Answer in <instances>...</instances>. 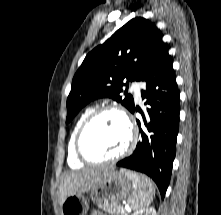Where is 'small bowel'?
I'll use <instances>...</instances> for the list:
<instances>
[{
	"label": "small bowel",
	"mask_w": 221,
	"mask_h": 215,
	"mask_svg": "<svg viewBox=\"0 0 221 215\" xmlns=\"http://www.w3.org/2000/svg\"><path fill=\"white\" fill-rule=\"evenodd\" d=\"M91 215H105V214H103L101 212H93Z\"/></svg>",
	"instance_id": "small-bowel-1"
}]
</instances>
